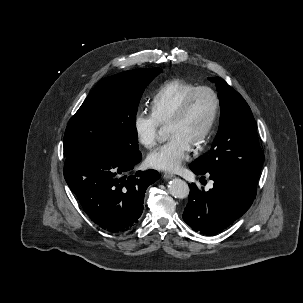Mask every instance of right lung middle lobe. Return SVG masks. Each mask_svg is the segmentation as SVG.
<instances>
[{
	"label": "right lung middle lobe",
	"mask_w": 303,
	"mask_h": 303,
	"mask_svg": "<svg viewBox=\"0 0 303 303\" xmlns=\"http://www.w3.org/2000/svg\"><path fill=\"white\" fill-rule=\"evenodd\" d=\"M159 68L136 69L101 80L69 120L64 157L83 147L101 145L121 156H141L135 120L141 95Z\"/></svg>",
	"instance_id": "obj_1"
}]
</instances>
